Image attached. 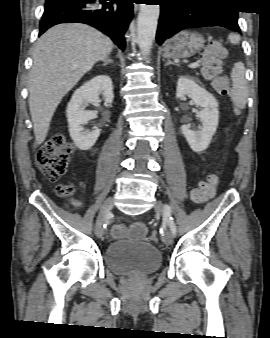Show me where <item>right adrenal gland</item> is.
Wrapping results in <instances>:
<instances>
[{"mask_svg":"<svg viewBox=\"0 0 270 338\" xmlns=\"http://www.w3.org/2000/svg\"><path fill=\"white\" fill-rule=\"evenodd\" d=\"M112 63H113V61H112L111 59H106V60L103 61L102 66L105 67V66H107L108 64H112Z\"/></svg>","mask_w":270,"mask_h":338,"instance_id":"1","label":"right adrenal gland"}]
</instances>
